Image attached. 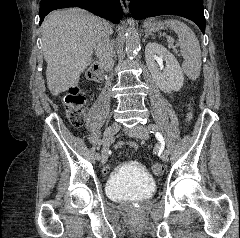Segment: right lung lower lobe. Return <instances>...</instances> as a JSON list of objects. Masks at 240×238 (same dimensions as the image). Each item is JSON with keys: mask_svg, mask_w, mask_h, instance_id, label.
Segmentation results:
<instances>
[{"mask_svg": "<svg viewBox=\"0 0 240 238\" xmlns=\"http://www.w3.org/2000/svg\"><path fill=\"white\" fill-rule=\"evenodd\" d=\"M73 6L89 10L113 23H118L123 17V10L119 0H41L39 24L42 23L49 12Z\"/></svg>", "mask_w": 240, "mask_h": 238, "instance_id": "obj_1", "label": "right lung lower lobe"}]
</instances>
